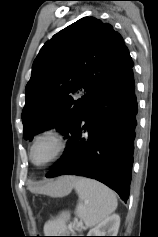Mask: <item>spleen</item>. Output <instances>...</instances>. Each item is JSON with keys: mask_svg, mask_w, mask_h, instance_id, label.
<instances>
[{"mask_svg": "<svg viewBox=\"0 0 158 237\" xmlns=\"http://www.w3.org/2000/svg\"><path fill=\"white\" fill-rule=\"evenodd\" d=\"M74 188L79 196L75 214L87 227L96 226L117 208L115 193L96 180L79 177L74 183ZM68 221L69 213L62 212L44 225V233L49 236L69 233L74 224H68Z\"/></svg>", "mask_w": 158, "mask_h": 237, "instance_id": "1", "label": "spleen"}]
</instances>
